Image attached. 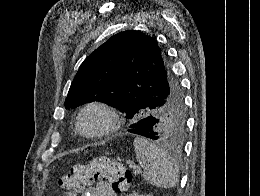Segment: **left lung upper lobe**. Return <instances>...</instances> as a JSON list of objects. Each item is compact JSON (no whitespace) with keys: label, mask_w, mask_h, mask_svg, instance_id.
<instances>
[{"label":"left lung upper lobe","mask_w":260,"mask_h":196,"mask_svg":"<svg viewBox=\"0 0 260 196\" xmlns=\"http://www.w3.org/2000/svg\"><path fill=\"white\" fill-rule=\"evenodd\" d=\"M101 101L135 123L155 121L156 139L180 148L186 136V112L180 84L165 50L154 38L128 30L109 38L81 64L65 108Z\"/></svg>","instance_id":"5c2ea615"}]
</instances>
